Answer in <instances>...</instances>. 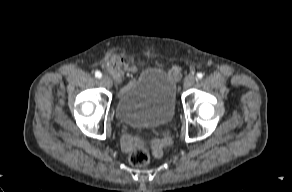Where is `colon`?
Returning <instances> with one entry per match:
<instances>
[{"label":"colon","mask_w":292,"mask_h":192,"mask_svg":"<svg viewBox=\"0 0 292 192\" xmlns=\"http://www.w3.org/2000/svg\"><path fill=\"white\" fill-rule=\"evenodd\" d=\"M151 142V136L146 133L143 134V144L140 148L133 151L130 154V163L135 167H143L150 161L149 144Z\"/></svg>","instance_id":"5ec220e1"}]
</instances>
